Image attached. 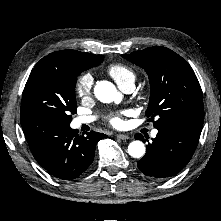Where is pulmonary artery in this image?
Segmentation results:
<instances>
[{
	"label": "pulmonary artery",
	"mask_w": 221,
	"mask_h": 221,
	"mask_svg": "<svg viewBox=\"0 0 221 221\" xmlns=\"http://www.w3.org/2000/svg\"><path fill=\"white\" fill-rule=\"evenodd\" d=\"M133 88H134L133 84H128V85L122 87L121 89L126 93H130L133 90ZM94 119L95 118L93 116H79L74 120V124H75V126L78 127L83 124L91 123L94 121ZM157 133H158V131L156 129H154L151 132L152 137H156Z\"/></svg>",
	"instance_id": "pulmonary-artery-1"
}]
</instances>
